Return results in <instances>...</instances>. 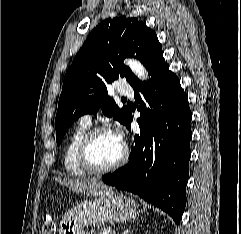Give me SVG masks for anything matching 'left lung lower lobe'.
I'll return each mask as SVG.
<instances>
[{
    "label": "left lung lower lobe",
    "instance_id": "1",
    "mask_svg": "<svg viewBox=\"0 0 241 234\" xmlns=\"http://www.w3.org/2000/svg\"><path fill=\"white\" fill-rule=\"evenodd\" d=\"M149 82L135 80L140 134L135 135L128 164L102 177L104 183L130 191L166 211L179 224L186 205L192 137V113L180 80L169 70L163 51L146 65ZM141 95H140V93ZM132 113L126 127L130 130Z\"/></svg>",
    "mask_w": 241,
    "mask_h": 234
}]
</instances>
